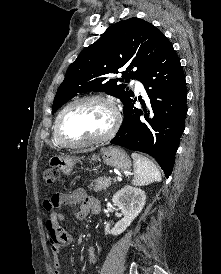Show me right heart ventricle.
Segmentation results:
<instances>
[{
  "mask_svg": "<svg viewBox=\"0 0 221 274\" xmlns=\"http://www.w3.org/2000/svg\"><path fill=\"white\" fill-rule=\"evenodd\" d=\"M55 123H56V121H55ZM53 140H54V142H55L57 145H59V146H64V145L58 140V138H57V136H56L55 124H54V128H53Z\"/></svg>",
  "mask_w": 221,
  "mask_h": 274,
  "instance_id": "right-heart-ventricle-1",
  "label": "right heart ventricle"
}]
</instances>
